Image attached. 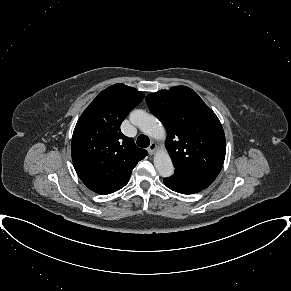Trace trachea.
Returning <instances> with one entry per match:
<instances>
[{
    "label": "trachea",
    "instance_id": "obj_1",
    "mask_svg": "<svg viewBox=\"0 0 291 291\" xmlns=\"http://www.w3.org/2000/svg\"><path fill=\"white\" fill-rule=\"evenodd\" d=\"M137 145L141 148H146L150 145V140L146 135H140L137 138Z\"/></svg>",
    "mask_w": 291,
    "mask_h": 291
}]
</instances>
